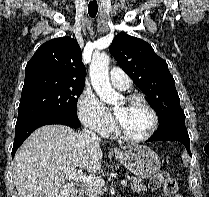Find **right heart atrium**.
Listing matches in <instances>:
<instances>
[{"mask_svg": "<svg viewBox=\"0 0 209 197\" xmlns=\"http://www.w3.org/2000/svg\"><path fill=\"white\" fill-rule=\"evenodd\" d=\"M77 111L81 122L90 131L104 136L113 130V116L90 90L85 89L81 93L77 103Z\"/></svg>", "mask_w": 209, "mask_h": 197, "instance_id": "1", "label": "right heart atrium"}]
</instances>
